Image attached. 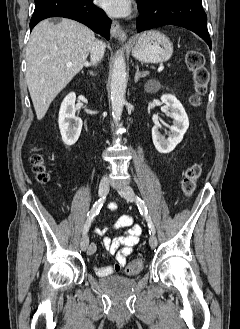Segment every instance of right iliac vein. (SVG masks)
I'll use <instances>...</instances> for the list:
<instances>
[{"mask_svg":"<svg viewBox=\"0 0 240 329\" xmlns=\"http://www.w3.org/2000/svg\"><path fill=\"white\" fill-rule=\"evenodd\" d=\"M109 180L107 178H103L100 182V185H99V195L101 197L105 196L108 194V191H109ZM88 244H89V238H88V235L84 234L82 239H81V242H80V248L82 251H85L88 247Z\"/></svg>","mask_w":240,"mask_h":329,"instance_id":"right-iliac-vein-1","label":"right iliac vein"}]
</instances>
